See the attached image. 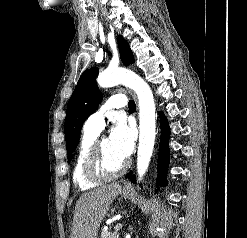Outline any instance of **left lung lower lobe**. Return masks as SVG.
I'll use <instances>...</instances> for the list:
<instances>
[{
  "label": "left lung lower lobe",
  "mask_w": 247,
  "mask_h": 238,
  "mask_svg": "<svg viewBox=\"0 0 247 238\" xmlns=\"http://www.w3.org/2000/svg\"><path fill=\"white\" fill-rule=\"evenodd\" d=\"M169 126L166 118L161 115V140L159 148V157H158V177L157 183L159 186L167 185L166 173L169 164ZM126 178H131L135 182L136 178L132 175V171L126 175Z\"/></svg>",
  "instance_id": "obj_1"
}]
</instances>
